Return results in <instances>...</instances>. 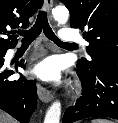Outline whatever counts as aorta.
<instances>
[{
	"label": "aorta",
	"mask_w": 118,
	"mask_h": 123,
	"mask_svg": "<svg viewBox=\"0 0 118 123\" xmlns=\"http://www.w3.org/2000/svg\"><path fill=\"white\" fill-rule=\"evenodd\" d=\"M52 14L54 19L59 24H65L69 19V11L64 6H57L52 10ZM61 116V103L59 101H55L48 108L44 123H59Z\"/></svg>",
	"instance_id": "1"
}]
</instances>
